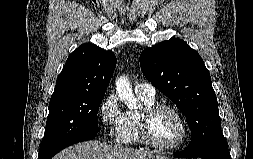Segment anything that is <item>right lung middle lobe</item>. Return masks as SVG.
<instances>
[{
    "label": "right lung middle lobe",
    "mask_w": 253,
    "mask_h": 159,
    "mask_svg": "<svg viewBox=\"0 0 253 159\" xmlns=\"http://www.w3.org/2000/svg\"><path fill=\"white\" fill-rule=\"evenodd\" d=\"M104 96V93H79L51 98L38 158L66 140L85 134H97V112Z\"/></svg>",
    "instance_id": "right-lung-middle-lobe-1"
}]
</instances>
